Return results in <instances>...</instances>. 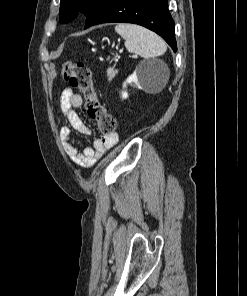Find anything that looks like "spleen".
<instances>
[{"instance_id":"1","label":"spleen","mask_w":247,"mask_h":296,"mask_svg":"<svg viewBox=\"0 0 247 296\" xmlns=\"http://www.w3.org/2000/svg\"><path fill=\"white\" fill-rule=\"evenodd\" d=\"M115 31L125 39V47L130 53H135L148 59L163 55L166 43L156 33L135 24L120 23Z\"/></svg>"}]
</instances>
